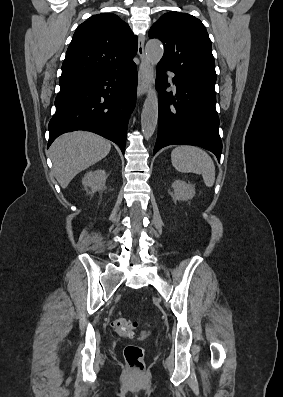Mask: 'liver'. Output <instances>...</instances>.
<instances>
[{
	"label": "liver",
	"mask_w": 283,
	"mask_h": 397,
	"mask_svg": "<svg viewBox=\"0 0 283 397\" xmlns=\"http://www.w3.org/2000/svg\"><path fill=\"white\" fill-rule=\"evenodd\" d=\"M111 144L105 138L84 131L66 133L50 147L54 175L62 188L81 171L108 155Z\"/></svg>",
	"instance_id": "obj_1"
}]
</instances>
